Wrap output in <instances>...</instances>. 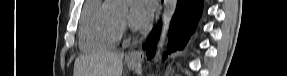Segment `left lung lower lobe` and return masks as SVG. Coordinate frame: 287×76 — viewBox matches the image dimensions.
Listing matches in <instances>:
<instances>
[{
    "mask_svg": "<svg viewBox=\"0 0 287 76\" xmlns=\"http://www.w3.org/2000/svg\"><path fill=\"white\" fill-rule=\"evenodd\" d=\"M202 11V0H178L176 12L171 22L169 32L168 53L176 50H182L192 32L194 31L198 19ZM159 26V32L160 27ZM155 30H153L147 38V56L151 59L153 56L152 51L157 41H154ZM145 49V44L143 45ZM166 58V54L164 55Z\"/></svg>",
    "mask_w": 287,
    "mask_h": 76,
    "instance_id": "0a47b994",
    "label": "left lung lower lobe"
}]
</instances>
